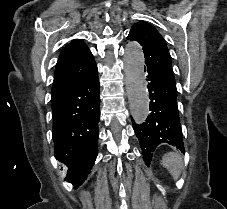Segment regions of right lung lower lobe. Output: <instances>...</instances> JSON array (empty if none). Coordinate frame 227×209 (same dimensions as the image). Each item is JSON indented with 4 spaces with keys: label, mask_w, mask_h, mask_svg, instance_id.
<instances>
[{
    "label": "right lung lower lobe",
    "mask_w": 227,
    "mask_h": 209,
    "mask_svg": "<svg viewBox=\"0 0 227 209\" xmlns=\"http://www.w3.org/2000/svg\"><path fill=\"white\" fill-rule=\"evenodd\" d=\"M62 71L68 76L82 74L73 87L51 98L55 157L68 166L66 179L77 188L87 178L98 153L100 83L95 62Z\"/></svg>",
    "instance_id": "98d812e1"
}]
</instances>
